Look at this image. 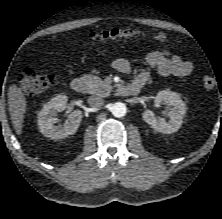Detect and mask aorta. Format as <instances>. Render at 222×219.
<instances>
[{
	"instance_id": "1",
	"label": "aorta",
	"mask_w": 222,
	"mask_h": 219,
	"mask_svg": "<svg viewBox=\"0 0 222 219\" xmlns=\"http://www.w3.org/2000/svg\"><path fill=\"white\" fill-rule=\"evenodd\" d=\"M126 105L122 102H116L112 105L111 112L112 114L117 117L121 118L126 115Z\"/></svg>"
}]
</instances>
